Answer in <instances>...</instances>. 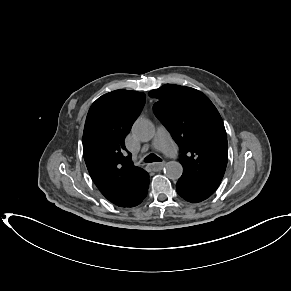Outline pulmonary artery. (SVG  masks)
<instances>
[{"label":"pulmonary artery","mask_w":291,"mask_h":291,"mask_svg":"<svg viewBox=\"0 0 291 291\" xmlns=\"http://www.w3.org/2000/svg\"><path fill=\"white\" fill-rule=\"evenodd\" d=\"M153 147L168 156H175L177 154V146L163 126H159L157 129L153 140Z\"/></svg>","instance_id":"1"}]
</instances>
